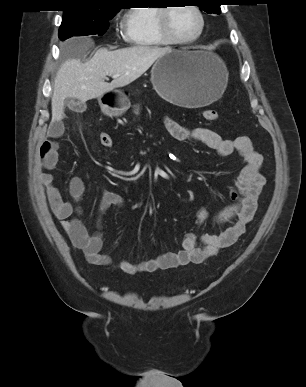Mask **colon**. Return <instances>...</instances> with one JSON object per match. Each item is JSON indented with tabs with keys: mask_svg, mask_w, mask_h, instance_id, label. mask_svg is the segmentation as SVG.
Returning <instances> with one entry per match:
<instances>
[{
	"mask_svg": "<svg viewBox=\"0 0 306 387\" xmlns=\"http://www.w3.org/2000/svg\"><path fill=\"white\" fill-rule=\"evenodd\" d=\"M203 116L207 121L214 122L219 118V114L214 109H207L203 112ZM99 142L104 147H110L112 145V138L109 133L102 132L99 135Z\"/></svg>",
	"mask_w": 306,
	"mask_h": 387,
	"instance_id": "obj_1",
	"label": "colon"
}]
</instances>
